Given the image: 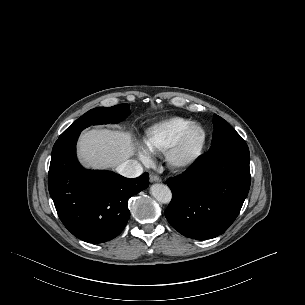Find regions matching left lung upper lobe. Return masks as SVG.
Wrapping results in <instances>:
<instances>
[{
    "mask_svg": "<svg viewBox=\"0 0 305 305\" xmlns=\"http://www.w3.org/2000/svg\"><path fill=\"white\" fill-rule=\"evenodd\" d=\"M213 120V139L207 154H216L229 150L249 152L248 146L242 137L223 118L214 115Z\"/></svg>",
    "mask_w": 305,
    "mask_h": 305,
    "instance_id": "left-lung-upper-lobe-1",
    "label": "left lung upper lobe"
}]
</instances>
